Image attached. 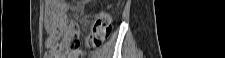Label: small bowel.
Segmentation results:
<instances>
[{
  "mask_svg": "<svg viewBox=\"0 0 225 58\" xmlns=\"http://www.w3.org/2000/svg\"><path fill=\"white\" fill-rule=\"evenodd\" d=\"M66 4L60 0H48L45 5V24L52 37L60 36L66 30L62 14Z\"/></svg>",
  "mask_w": 225,
  "mask_h": 58,
  "instance_id": "1",
  "label": "small bowel"
}]
</instances>
